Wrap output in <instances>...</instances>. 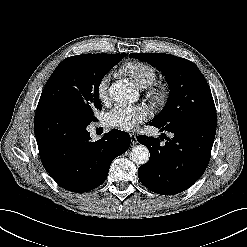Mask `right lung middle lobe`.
I'll return each mask as SVG.
<instances>
[{
  "label": "right lung middle lobe",
  "mask_w": 247,
  "mask_h": 247,
  "mask_svg": "<svg viewBox=\"0 0 247 247\" xmlns=\"http://www.w3.org/2000/svg\"><path fill=\"white\" fill-rule=\"evenodd\" d=\"M116 63L87 54L64 59L49 77L37 108H50L90 124L101 110L99 85Z\"/></svg>",
  "instance_id": "dd1d6c3e"
}]
</instances>
